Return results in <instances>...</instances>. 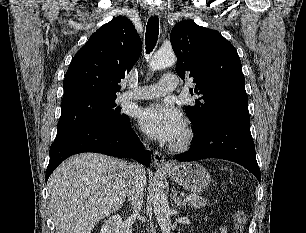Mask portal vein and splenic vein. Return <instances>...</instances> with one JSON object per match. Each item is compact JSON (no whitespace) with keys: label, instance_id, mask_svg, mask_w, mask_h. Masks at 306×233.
<instances>
[{"label":"portal vein and splenic vein","instance_id":"obj_1","mask_svg":"<svg viewBox=\"0 0 306 233\" xmlns=\"http://www.w3.org/2000/svg\"><path fill=\"white\" fill-rule=\"evenodd\" d=\"M189 200H190V198H189L188 196L184 198V201H185V202H187V201H189Z\"/></svg>","mask_w":306,"mask_h":233}]
</instances>
